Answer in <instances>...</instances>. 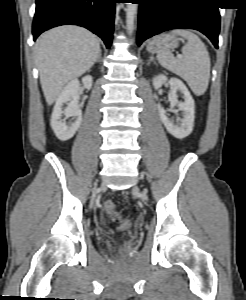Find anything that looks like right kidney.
Wrapping results in <instances>:
<instances>
[{"instance_id":"obj_1","label":"right kidney","mask_w":246,"mask_h":300,"mask_svg":"<svg viewBox=\"0 0 246 300\" xmlns=\"http://www.w3.org/2000/svg\"><path fill=\"white\" fill-rule=\"evenodd\" d=\"M93 78L87 75L82 78V84L85 89L90 90L92 88ZM80 91V82L78 79L70 81L59 94L56 104L54 106L51 116V127L56 137L61 141L71 139L82 122V111L78 105ZM67 104V107L63 110V104ZM73 117L74 122L68 124L62 119Z\"/></svg>"}]
</instances>
